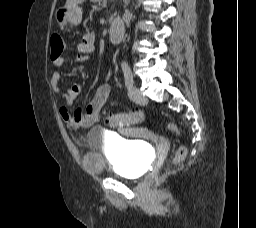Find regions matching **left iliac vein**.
Returning a JSON list of instances; mask_svg holds the SVG:
<instances>
[{"label": "left iliac vein", "mask_w": 256, "mask_h": 228, "mask_svg": "<svg viewBox=\"0 0 256 228\" xmlns=\"http://www.w3.org/2000/svg\"><path fill=\"white\" fill-rule=\"evenodd\" d=\"M128 95L132 101H134L138 104H144L147 101V99L142 95L139 88H137L136 86H131L128 89Z\"/></svg>", "instance_id": "1"}]
</instances>
